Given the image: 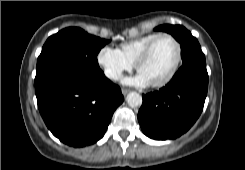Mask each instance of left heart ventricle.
<instances>
[{
	"mask_svg": "<svg viewBox=\"0 0 245 170\" xmlns=\"http://www.w3.org/2000/svg\"><path fill=\"white\" fill-rule=\"evenodd\" d=\"M177 55L175 44L170 38L159 39L149 57L141 64L139 72L148 82H156L171 70Z\"/></svg>",
	"mask_w": 245,
	"mask_h": 170,
	"instance_id": "b2bd125f",
	"label": "left heart ventricle"
}]
</instances>
